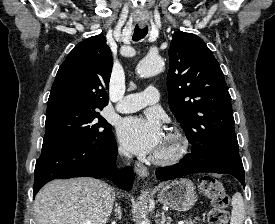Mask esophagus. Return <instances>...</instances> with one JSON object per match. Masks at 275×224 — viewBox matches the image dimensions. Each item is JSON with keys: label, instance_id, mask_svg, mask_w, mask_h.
<instances>
[{"label": "esophagus", "instance_id": "obj_1", "mask_svg": "<svg viewBox=\"0 0 275 224\" xmlns=\"http://www.w3.org/2000/svg\"><path fill=\"white\" fill-rule=\"evenodd\" d=\"M134 167H135L136 174L140 179H144L148 176L149 174L148 169L143 163L136 161Z\"/></svg>", "mask_w": 275, "mask_h": 224}]
</instances>
